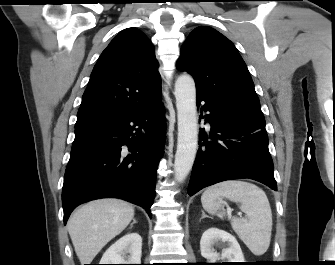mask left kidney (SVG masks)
I'll use <instances>...</instances> for the list:
<instances>
[{"instance_id":"obj_1","label":"left kidney","mask_w":335,"mask_h":265,"mask_svg":"<svg viewBox=\"0 0 335 265\" xmlns=\"http://www.w3.org/2000/svg\"><path fill=\"white\" fill-rule=\"evenodd\" d=\"M219 242L227 244V248H223L221 255L213 248ZM200 251L209 263H215L219 259H227L228 262H244V256L236 238L218 228H209L203 233L200 240Z\"/></svg>"}]
</instances>
